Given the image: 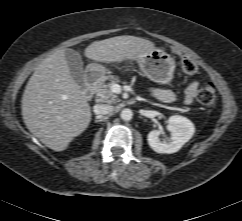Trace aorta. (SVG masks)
Listing matches in <instances>:
<instances>
[{
    "mask_svg": "<svg viewBox=\"0 0 242 221\" xmlns=\"http://www.w3.org/2000/svg\"><path fill=\"white\" fill-rule=\"evenodd\" d=\"M132 116H133V113L130 109H123L120 114L121 119H123L124 121L131 120Z\"/></svg>",
    "mask_w": 242,
    "mask_h": 221,
    "instance_id": "obj_1",
    "label": "aorta"
}]
</instances>
